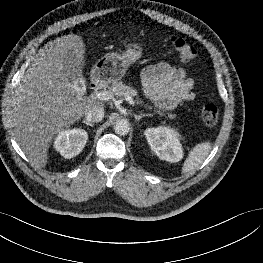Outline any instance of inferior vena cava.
<instances>
[{"label":"inferior vena cava","instance_id":"1","mask_svg":"<svg viewBox=\"0 0 263 263\" xmlns=\"http://www.w3.org/2000/svg\"><path fill=\"white\" fill-rule=\"evenodd\" d=\"M103 117L104 109L99 105H93L85 112L86 121L90 123L99 122L103 119Z\"/></svg>","mask_w":263,"mask_h":263}]
</instances>
